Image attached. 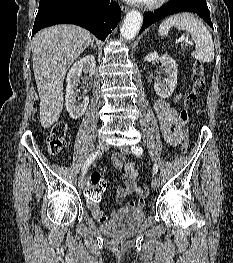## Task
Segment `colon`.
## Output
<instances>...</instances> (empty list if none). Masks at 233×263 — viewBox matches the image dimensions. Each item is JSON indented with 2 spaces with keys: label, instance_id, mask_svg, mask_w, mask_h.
I'll return each mask as SVG.
<instances>
[{
  "label": "colon",
  "instance_id": "5ec220e1",
  "mask_svg": "<svg viewBox=\"0 0 233 263\" xmlns=\"http://www.w3.org/2000/svg\"><path fill=\"white\" fill-rule=\"evenodd\" d=\"M192 81L193 85L189 93L186 95L184 100L183 109L180 112V119L184 125V131L187 135L188 132V121L189 113L188 109L191 108L197 102L200 95L205 90V76L204 69L201 63L195 62L192 68ZM66 134L67 125L64 122L56 123L49 134L45 138V144L47 150L52 155L59 154L66 146ZM188 147L187 141L182 145V151H186ZM129 170H132V165L128 166ZM104 169H93L91 172V178L88 185V190H85V201L86 202H99L100 197L106 189V181L103 179L102 174H104ZM148 196V189L144 188L141 195V200L145 202Z\"/></svg>",
  "mask_w": 233,
  "mask_h": 263
}]
</instances>
